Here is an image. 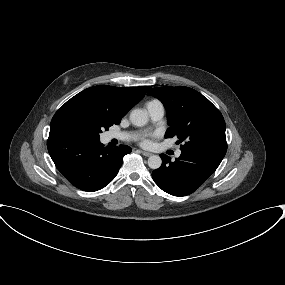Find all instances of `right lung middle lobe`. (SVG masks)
I'll use <instances>...</instances> for the list:
<instances>
[{
  "instance_id": "right-lung-middle-lobe-1",
  "label": "right lung middle lobe",
  "mask_w": 285,
  "mask_h": 285,
  "mask_svg": "<svg viewBox=\"0 0 285 285\" xmlns=\"http://www.w3.org/2000/svg\"><path fill=\"white\" fill-rule=\"evenodd\" d=\"M113 124L117 123L100 114L68 115L60 121L62 129L75 133L89 141H99V134L102 133V130H108Z\"/></svg>"
}]
</instances>
